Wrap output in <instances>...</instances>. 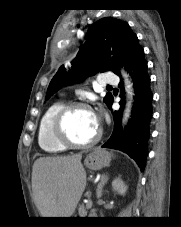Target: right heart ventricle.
Wrapping results in <instances>:
<instances>
[{
    "mask_svg": "<svg viewBox=\"0 0 181 227\" xmlns=\"http://www.w3.org/2000/svg\"><path fill=\"white\" fill-rule=\"evenodd\" d=\"M64 105L63 101L52 103L43 113L38 129V144L46 153L58 154L67 147L56 140L52 132V121L58 110Z\"/></svg>",
    "mask_w": 181,
    "mask_h": 227,
    "instance_id": "right-heart-ventricle-1",
    "label": "right heart ventricle"
}]
</instances>
